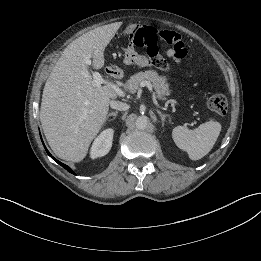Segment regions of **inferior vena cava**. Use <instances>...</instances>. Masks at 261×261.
I'll use <instances>...</instances> for the list:
<instances>
[{
    "label": "inferior vena cava",
    "instance_id": "602c4592",
    "mask_svg": "<svg viewBox=\"0 0 261 261\" xmlns=\"http://www.w3.org/2000/svg\"><path fill=\"white\" fill-rule=\"evenodd\" d=\"M110 107L116 110L125 111L129 108V105L119 101H110Z\"/></svg>",
    "mask_w": 261,
    "mask_h": 261
}]
</instances>
